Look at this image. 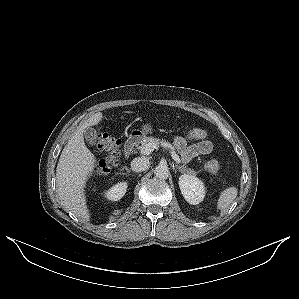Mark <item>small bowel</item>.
Wrapping results in <instances>:
<instances>
[{
    "label": "small bowel",
    "mask_w": 299,
    "mask_h": 299,
    "mask_svg": "<svg viewBox=\"0 0 299 299\" xmlns=\"http://www.w3.org/2000/svg\"><path fill=\"white\" fill-rule=\"evenodd\" d=\"M174 146L184 162H189L197 156L207 155L213 149V144L209 140H201L188 145L186 140L181 136L175 137Z\"/></svg>",
    "instance_id": "1"
}]
</instances>
